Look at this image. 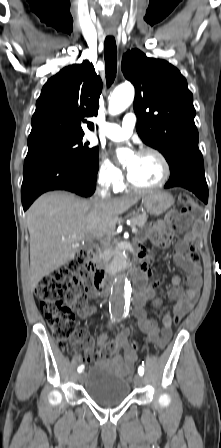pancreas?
Returning <instances> with one entry per match:
<instances>
[{"mask_svg": "<svg viewBox=\"0 0 221 448\" xmlns=\"http://www.w3.org/2000/svg\"><path fill=\"white\" fill-rule=\"evenodd\" d=\"M148 216L146 214H137L133 216L130 220L132 226H138L140 228L144 227ZM100 260L105 265L107 270L113 271L121 267L123 262V257L117 249H114L111 245L104 247L100 254Z\"/></svg>", "mask_w": 221, "mask_h": 448, "instance_id": "cf45deb5", "label": "pancreas"}]
</instances>
